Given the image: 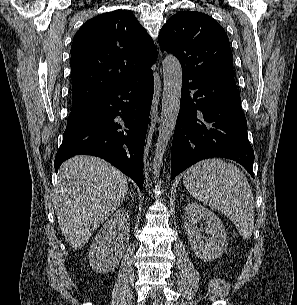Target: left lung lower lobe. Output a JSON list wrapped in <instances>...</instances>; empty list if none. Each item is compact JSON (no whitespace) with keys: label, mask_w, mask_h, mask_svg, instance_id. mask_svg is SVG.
Listing matches in <instances>:
<instances>
[{"label":"left lung lower lobe","mask_w":297,"mask_h":305,"mask_svg":"<svg viewBox=\"0 0 297 305\" xmlns=\"http://www.w3.org/2000/svg\"><path fill=\"white\" fill-rule=\"evenodd\" d=\"M182 82L172 142V179L211 157L232 159L254 178V152L234 78L197 79L183 73Z\"/></svg>","instance_id":"obj_1"}]
</instances>
